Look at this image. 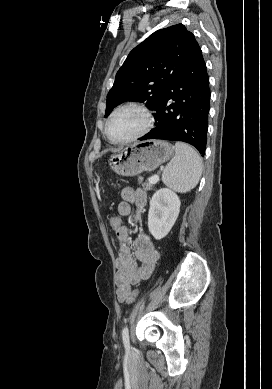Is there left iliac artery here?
<instances>
[{
	"mask_svg": "<svg viewBox=\"0 0 272 389\" xmlns=\"http://www.w3.org/2000/svg\"><path fill=\"white\" fill-rule=\"evenodd\" d=\"M122 339L126 350L130 349L129 332L127 326L122 330Z\"/></svg>",
	"mask_w": 272,
	"mask_h": 389,
	"instance_id": "left-iliac-artery-1",
	"label": "left iliac artery"
}]
</instances>
